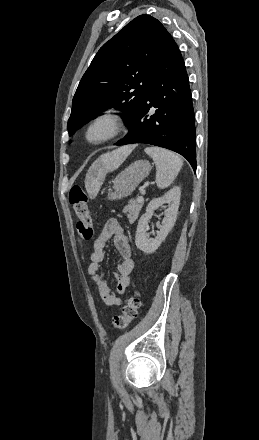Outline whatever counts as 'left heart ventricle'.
I'll use <instances>...</instances> for the list:
<instances>
[{
	"label": "left heart ventricle",
	"instance_id": "1",
	"mask_svg": "<svg viewBox=\"0 0 259 440\" xmlns=\"http://www.w3.org/2000/svg\"><path fill=\"white\" fill-rule=\"evenodd\" d=\"M108 132V127L104 124L97 125L90 132V137L92 139H98L106 135Z\"/></svg>",
	"mask_w": 259,
	"mask_h": 440
}]
</instances>
